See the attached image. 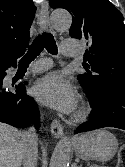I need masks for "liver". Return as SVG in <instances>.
<instances>
[{
	"label": "liver",
	"mask_w": 125,
	"mask_h": 167,
	"mask_svg": "<svg viewBox=\"0 0 125 167\" xmlns=\"http://www.w3.org/2000/svg\"><path fill=\"white\" fill-rule=\"evenodd\" d=\"M22 132L0 122V167H21Z\"/></svg>",
	"instance_id": "1"
}]
</instances>
